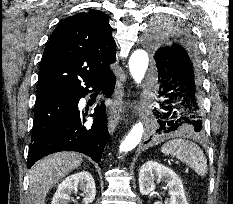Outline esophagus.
<instances>
[{"label": "esophagus", "mask_w": 233, "mask_h": 204, "mask_svg": "<svg viewBox=\"0 0 233 204\" xmlns=\"http://www.w3.org/2000/svg\"><path fill=\"white\" fill-rule=\"evenodd\" d=\"M124 95L125 92H124L123 84L121 80L118 79L116 82L112 107L108 120V130L110 134H113L121 118L122 107L124 105Z\"/></svg>", "instance_id": "obj_1"}]
</instances>
